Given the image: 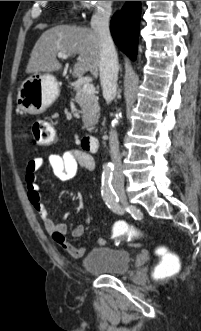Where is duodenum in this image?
I'll use <instances>...</instances> for the list:
<instances>
[{"label":"duodenum","mask_w":201,"mask_h":331,"mask_svg":"<svg viewBox=\"0 0 201 331\" xmlns=\"http://www.w3.org/2000/svg\"><path fill=\"white\" fill-rule=\"evenodd\" d=\"M82 145L85 149H87L90 152H97L99 149V141L95 136H85L82 139Z\"/></svg>","instance_id":"duodenum-1"}]
</instances>
